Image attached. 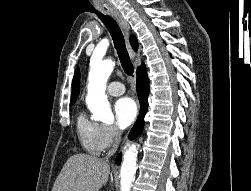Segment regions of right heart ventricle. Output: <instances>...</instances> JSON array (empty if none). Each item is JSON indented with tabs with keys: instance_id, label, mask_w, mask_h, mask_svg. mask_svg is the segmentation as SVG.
Instances as JSON below:
<instances>
[{
	"instance_id": "1",
	"label": "right heart ventricle",
	"mask_w": 251,
	"mask_h": 191,
	"mask_svg": "<svg viewBox=\"0 0 251 191\" xmlns=\"http://www.w3.org/2000/svg\"><path fill=\"white\" fill-rule=\"evenodd\" d=\"M76 129L79 142L86 152L96 155L102 150L98 140L99 124L90 121L84 113H80Z\"/></svg>"
}]
</instances>
